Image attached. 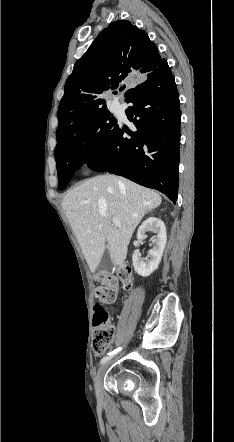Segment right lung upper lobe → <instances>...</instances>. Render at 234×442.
I'll return each instance as SVG.
<instances>
[{
  "instance_id": "1",
  "label": "right lung upper lobe",
  "mask_w": 234,
  "mask_h": 442,
  "mask_svg": "<svg viewBox=\"0 0 234 442\" xmlns=\"http://www.w3.org/2000/svg\"><path fill=\"white\" fill-rule=\"evenodd\" d=\"M166 60L147 33L126 20L115 21L94 40L75 63L65 83L58 108L57 145L65 141L88 115L106 108L100 95L121 82L140 77L148 80ZM125 85L120 89H124ZM135 88L125 92V98Z\"/></svg>"
}]
</instances>
